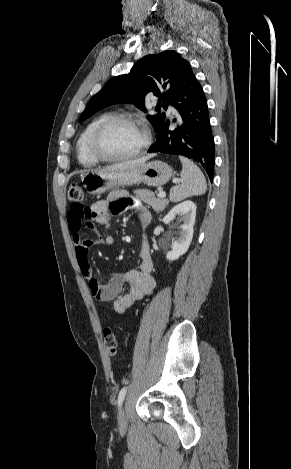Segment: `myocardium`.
I'll return each instance as SVG.
<instances>
[{"label":"myocardium","instance_id":"obj_1","mask_svg":"<svg viewBox=\"0 0 291 469\" xmlns=\"http://www.w3.org/2000/svg\"><path fill=\"white\" fill-rule=\"evenodd\" d=\"M126 122L132 125L138 126L144 132V141L141 146L135 151L123 155V156H112L105 152L103 148V136L106 130L115 123ZM151 144V133L148 128L136 117L129 114H114L104 119L93 131L90 139V149L93 155L100 161L104 162H122L133 159L143 152H145Z\"/></svg>","mask_w":291,"mask_h":469}]
</instances>
